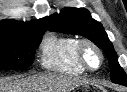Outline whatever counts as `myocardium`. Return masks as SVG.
Masks as SVG:
<instances>
[{
    "label": "myocardium",
    "instance_id": "1",
    "mask_svg": "<svg viewBox=\"0 0 127 92\" xmlns=\"http://www.w3.org/2000/svg\"><path fill=\"white\" fill-rule=\"evenodd\" d=\"M87 49H92L94 52L98 54L100 61L97 67H91L87 63V60H86V50ZM76 58H77L79 65L86 71H97L98 69L102 67V65L104 64V60H105L102 49L97 44H95L93 41L89 39H83L79 41L77 45V49H76Z\"/></svg>",
    "mask_w": 127,
    "mask_h": 92
}]
</instances>
